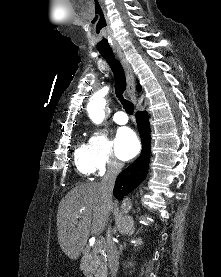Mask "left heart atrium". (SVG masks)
Instances as JSON below:
<instances>
[{
    "instance_id": "obj_1",
    "label": "left heart atrium",
    "mask_w": 221,
    "mask_h": 277,
    "mask_svg": "<svg viewBox=\"0 0 221 277\" xmlns=\"http://www.w3.org/2000/svg\"><path fill=\"white\" fill-rule=\"evenodd\" d=\"M115 149L119 158L129 160L140 150V142L135 132L130 128L118 130L115 138Z\"/></svg>"
}]
</instances>
